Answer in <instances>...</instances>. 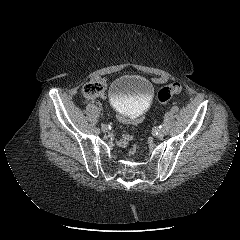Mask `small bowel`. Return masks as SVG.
<instances>
[{
    "label": "small bowel",
    "mask_w": 240,
    "mask_h": 240,
    "mask_svg": "<svg viewBox=\"0 0 240 240\" xmlns=\"http://www.w3.org/2000/svg\"><path fill=\"white\" fill-rule=\"evenodd\" d=\"M154 81L156 83H164L166 81L165 77H159L155 78ZM101 99L102 100H107L108 99V94L107 93H102L101 94ZM112 118L119 124L122 125H127V126H133V127H138L143 125L144 123L147 122L148 120V115L147 114H142L138 119H130V118H124L121 116L118 112H113L112 113ZM135 141V136L133 134H124L122 135V138L117 142V145L121 148L125 147L128 143H133Z\"/></svg>",
    "instance_id": "c3829d8e"
}]
</instances>
